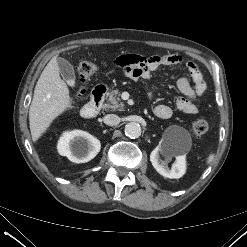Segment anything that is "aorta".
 Returning <instances> with one entry per match:
<instances>
[{
    "label": "aorta",
    "mask_w": 247,
    "mask_h": 247,
    "mask_svg": "<svg viewBox=\"0 0 247 247\" xmlns=\"http://www.w3.org/2000/svg\"><path fill=\"white\" fill-rule=\"evenodd\" d=\"M125 135L135 139L141 135V126L136 122H130L125 125Z\"/></svg>",
    "instance_id": "aorta-1"
}]
</instances>
